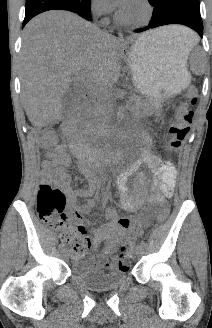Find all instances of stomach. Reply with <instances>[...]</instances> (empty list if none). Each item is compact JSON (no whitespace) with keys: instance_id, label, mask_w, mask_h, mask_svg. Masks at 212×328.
Segmentation results:
<instances>
[{"instance_id":"0dacf381","label":"stomach","mask_w":212,"mask_h":328,"mask_svg":"<svg viewBox=\"0 0 212 328\" xmlns=\"http://www.w3.org/2000/svg\"><path fill=\"white\" fill-rule=\"evenodd\" d=\"M186 62L183 48L168 40L141 36L130 54L134 85L142 95L156 100L162 91L177 93L190 81Z\"/></svg>"}]
</instances>
